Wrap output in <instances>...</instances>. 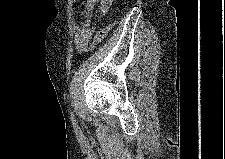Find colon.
I'll return each mask as SVG.
<instances>
[{"label": "colon", "mask_w": 225, "mask_h": 159, "mask_svg": "<svg viewBox=\"0 0 225 159\" xmlns=\"http://www.w3.org/2000/svg\"><path fill=\"white\" fill-rule=\"evenodd\" d=\"M114 25L115 22H111L106 27L101 29L94 37L92 43L89 46V49H93L102 39H104L108 35V33L112 30Z\"/></svg>", "instance_id": "1"}]
</instances>
